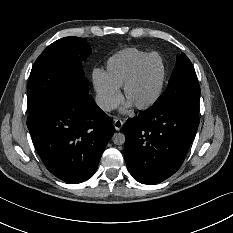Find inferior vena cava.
I'll return each instance as SVG.
<instances>
[{"label":"inferior vena cava","mask_w":233,"mask_h":233,"mask_svg":"<svg viewBox=\"0 0 233 233\" xmlns=\"http://www.w3.org/2000/svg\"><path fill=\"white\" fill-rule=\"evenodd\" d=\"M96 103L100 109L106 112H110L119 106L117 101H112L107 98H98L96 99Z\"/></svg>","instance_id":"inferior-vena-cava-1"}]
</instances>
